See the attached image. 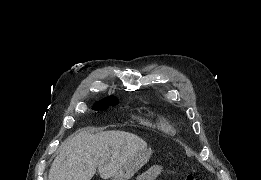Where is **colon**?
<instances>
[{"label":"colon","instance_id":"obj_1","mask_svg":"<svg viewBox=\"0 0 261 180\" xmlns=\"http://www.w3.org/2000/svg\"><path fill=\"white\" fill-rule=\"evenodd\" d=\"M185 179H186V180H198V177L195 176V175H193V174H187V175L185 176Z\"/></svg>","mask_w":261,"mask_h":180}]
</instances>
